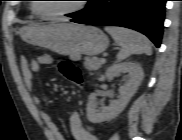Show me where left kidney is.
I'll list each match as a JSON object with an SVG mask.
<instances>
[{"label": "left kidney", "instance_id": "1", "mask_svg": "<svg viewBox=\"0 0 182 140\" xmlns=\"http://www.w3.org/2000/svg\"><path fill=\"white\" fill-rule=\"evenodd\" d=\"M121 73L128 74V82L119 89L117 100L111 101L109 106L98 108L97 94L91 93L87 103V118L92 123L111 120L121 113L132 96L136 93L144 76L142 67L132 62L114 63L106 70L107 79L111 80Z\"/></svg>", "mask_w": 182, "mask_h": 140}]
</instances>
